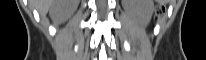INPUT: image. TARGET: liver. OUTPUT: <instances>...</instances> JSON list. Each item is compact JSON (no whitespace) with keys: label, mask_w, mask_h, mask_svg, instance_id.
<instances>
[{"label":"liver","mask_w":206,"mask_h":60,"mask_svg":"<svg viewBox=\"0 0 206 60\" xmlns=\"http://www.w3.org/2000/svg\"><path fill=\"white\" fill-rule=\"evenodd\" d=\"M79 0H35L34 6L41 16L50 11L52 20L56 24L65 22L75 11Z\"/></svg>","instance_id":"1"}]
</instances>
